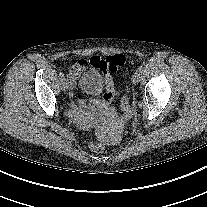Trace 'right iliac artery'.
Instances as JSON below:
<instances>
[{
  "label": "right iliac artery",
  "instance_id": "1",
  "mask_svg": "<svg viewBox=\"0 0 207 207\" xmlns=\"http://www.w3.org/2000/svg\"><path fill=\"white\" fill-rule=\"evenodd\" d=\"M60 79H61V80H64V79H65V75H64V73H62V72L60 73Z\"/></svg>",
  "mask_w": 207,
  "mask_h": 207
}]
</instances>
